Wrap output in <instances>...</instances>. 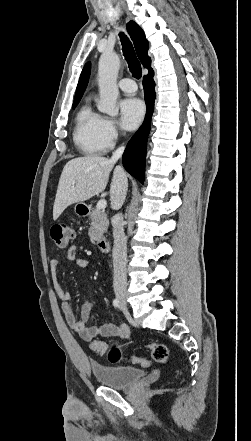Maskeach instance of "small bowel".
<instances>
[{"label": "small bowel", "mask_w": 251, "mask_h": 441, "mask_svg": "<svg viewBox=\"0 0 251 441\" xmlns=\"http://www.w3.org/2000/svg\"><path fill=\"white\" fill-rule=\"evenodd\" d=\"M66 259L68 261H74L80 268H87L90 264L89 260L85 258H76L73 251H70L67 254ZM58 267L59 260L52 259L50 261V271L53 280V290L58 299L61 301L60 307L64 319L72 330L77 332L83 340L92 342L98 337L118 336L126 338L129 336L130 330L127 325L118 326L111 323L101 324L98 326L89 325L93 304L88 300H85L81 305L80 318H76L70 303L71 293L65 290L57 279Z\"/></svg>", "instance_id": "1"}]
</instances>
